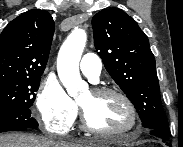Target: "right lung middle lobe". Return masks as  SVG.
Masks as SVG:
<instances>
[{
  "label": "right lung middle lobe",
  "mask_w": 183,
  "mask_h": 147,
  "mask_svg": "<svg viewBox=\"0 0 183 147\" xmlns=\"http://www.w3.org/2000/svg\"><path fill=\"white\" fill-rule=\"evenodd\" d=\"M41 76L0 81V110L30 108L35 100Z\"/></svg>",
  "instance_id": "1"
}]
</instances>
